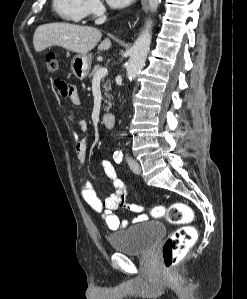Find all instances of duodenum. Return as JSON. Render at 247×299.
Returning <instances> with one entry per match:
<instances>
[{"mask_svg":"<svg viewBox=\"0 0 247 299\" xmlns=\"http://www.w3.org/2000/svg\"><path fill=\"white\" fill-rule=\"evenodd\" d=\"M102 123L105 127L111 129L115 124V116L112 113H104L101 117Z\"/></svg>","mask_w":247,"mask_h":299,"instance_id":"obj_1","label":"duodenum"}]
</instances>
